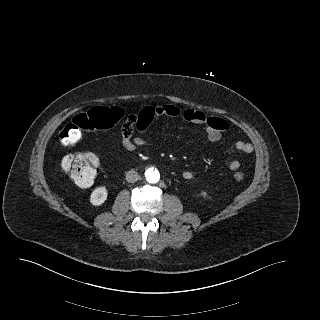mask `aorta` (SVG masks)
Returning a JSON list of instances; mask_svg holds the SVG:
<instances>
[{
  "mask_svg": "<svg viewBox=\"0 0 320 320\" xmlns=\"http://www.w3.org/2000/svg\"><path fill=\"white\" fill-rule=\"evenodd\" d=\"M146 180L149 183H157L160 180V174L157 170H154L153 168H149L145 172Z\"/></svg>",
  "mask_w": 320,
  "mask_h": 320,
  "instance_id": "1",
  "label": "aorta"
}]
</instances>
